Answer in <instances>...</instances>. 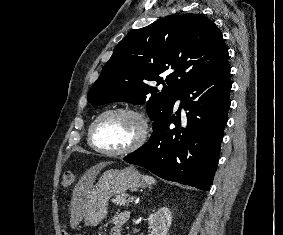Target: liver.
Wrapping results in <instances>:
<instances>
[{
	"instance_id": "1",
	"label": "liver",
	"mask_w": 283,
	"mask_h": 235,
	"mask_svg": "<svg viewBox=\"0 0 283 235\" xmlns=\"http://www.w3.org/2000/svg\"><path fill=\"white\" fill-rule=\"evenodd\" d=\"M112 162H100L92 166L80 179L73 191L71 226H76L82 219V201L83 197L92 188L97 174Z\"/></svg>"
}]
</instances>
